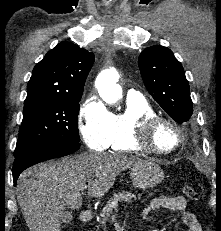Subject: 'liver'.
Returning <instances> with one entry per match:
<instances>
[{"label":"liver","mask_w":221,"mask_h":231,"mask_svg":"<svg viewBox=\"0 0 221 231\" xmlns=\"http://www.w3.org/2000/svg\"><path fill=\"white\" fill-rule=\"evenodd\" d=\"M139 161L121 154L84 153L25 170L16 191L28 227L31 231H60L65 208L82 206L81 187L87 186L91 197H103L116 176Z\"/></svg>","instance_id":"liver-1"}]
</instances>
